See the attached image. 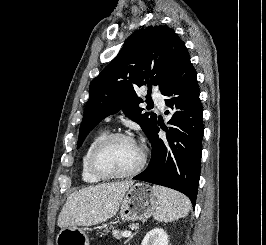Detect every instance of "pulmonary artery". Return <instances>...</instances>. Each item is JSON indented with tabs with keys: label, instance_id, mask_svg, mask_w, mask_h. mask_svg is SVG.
Segmentation results:
<instances>
[{
	"label": "pulmonary artery",
	"instance_id": "pulmonary-artery-1",
	"mask_svg": "<svg viewBox=\"0 0 266 245\" xmlns=\"http://www.w3.org/2000/svg\"><path fill=\"white\" fill-rule=\"evenodd\" d=\"M152 95H155V92H152ZM154 100H157V97H154ZM156 104L158 106V108L163 111L164 107H165V103L163 99H159L156 101ZM106 121H109V118H106Z\"/></svg>",
	"mask_w": 266,
	"mask_h": 245
}]
</instances>
